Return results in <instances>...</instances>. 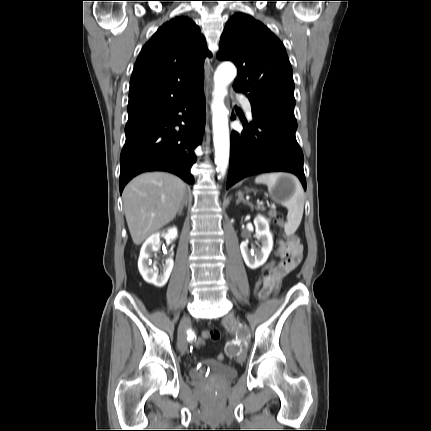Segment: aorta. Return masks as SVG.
Segmentation results:
<instances>
[{"instance_id":"aorta-1","label":"aorta","mask_w":431,"mask_h":431,"mask_svg":"<svg viewBox=\"0 0 431 431\" xmlns=\"http://www.w3.org/2000/svg\"><path fill=\"white\" fill-rule=\"evenodd\" d=\"M237 71L233 64L222 63L214 74V91L212 102L213 113V142L215 147V163L222 176L229 162V128L228 110L224 105V97L227 95V86L236 77Z\"/></svg>"}]
</instances>
